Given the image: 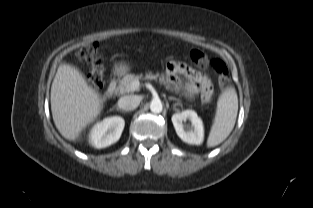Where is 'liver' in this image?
Returning <instances> with one entry per match:
<instances>
[{
    "instance_id": "liver-1",
    "label": "liver",
    "mask_w": 313,
    "mask_h": 208,
    "mask_svg": "<svg viewBox=\"0 0 313 208\" xmlns=\"http://www.w3.org/2000/svg\"><path fill=\"white\" fill-rule=\"evenodd\" d=\"M51 111L60 134L74 141L101 111V101L80 73L60 65L51 87Z\"/></svg>"
}]
</instances>
